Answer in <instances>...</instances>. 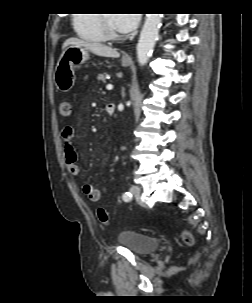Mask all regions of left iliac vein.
Instances as JSON below:
<instances>
[{
	"label": "left iliac vein",
	"mask_w": 252,
	"mask_h": 303,
	"mask_svg": "<svg viewBox=\"0 0 252 303\" xmlns=\"http://www.w3.org/2000/svg\"><path fill=\"white\" fill-rule=\"evenodd\" d=\"M130 192L134 195L139 204H143V201L141 199V188L139 186H132Z\"/></svg>",
	"instance_id": "4c4485c4"
}]
</instances>
